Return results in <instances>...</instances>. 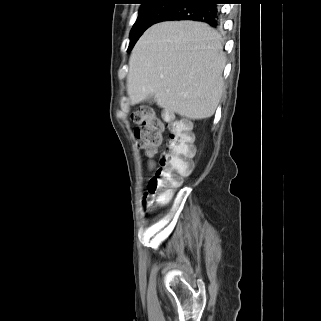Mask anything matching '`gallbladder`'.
I'll return each mask as SVG.
<instances>
[{
	"label": "gallbladder",
	"instance_id": "bac80fb5",
	"mask_svg": "<svg viewBox=\"0 0 321 321\" xmlns=\"http://www.w3.org/2000/svg\"><path fill=\"white\" fill-rule=\"evenodd\" d=\"M145 102L148 103V104H153L155 102V98L154 96H149L145 99Z\"/></svg>",
	"mask_w": 321,
	"mask_h": 321
}]
</instances>
